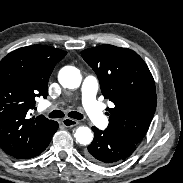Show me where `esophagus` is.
<instances>
[{
  "instance_id": "1",
  "label": "esophagus",
  "mask_w": 183,
  "mask_h": 183,
  "mask_svg": "<svg viewBox=\"0 0 183 183\" xmlns=\"http://www.w3.org/2000/svg\"><path fill=\"white\" fill-rule=\"evenodd\" d=\"M62 125L65 127H74L79 124L78 120L70 119V118H65L61 121Z\"/></svg>"
}]
</instances>
